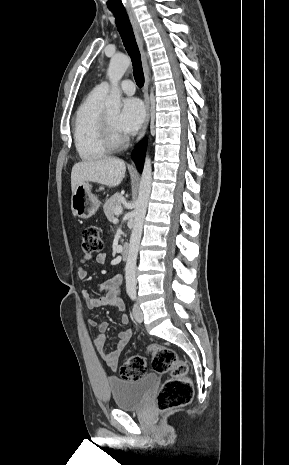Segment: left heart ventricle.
I'll return each mask as SVG.
<instances>
[{
  "label": "left heart ventricle",
  "instance_id": "obj_1",
  "mask_svg": "<svg viewBox=\"0 0 289 465\" xmlns=\"http://www.w3.org/2000/svg\"><path fill=\"white\" fill-rule=\"evenodd\" d=\"M107 113L113 125L118 129L117 121H118L119 112L112 110V111H108Z\"/></svg>",
  "mask_w": 289,
  "mask_h": 465
}]
</instances>
